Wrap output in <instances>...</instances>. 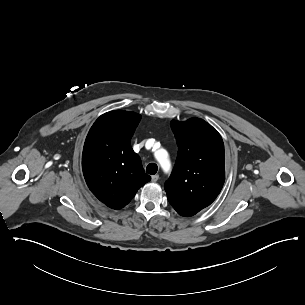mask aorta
<instances>
[{
	"label": "aorta",
	"mask_w": 305,
	"mask_h": 305,
	"mask_svg": "<svg viewBox=\"0 0 305 305\" xmlns=\"http://www.w3.org/2000/svg\"><path fill=\"white\" fill-rule=\"evenodd\" d=\"M166 152L164 150H158L155 153V157L158 160V162L160 163L161 167L163 168V170L165 172H168L170 170L171 164L169 159H167L165 157Z\"/></svg>",
	"instance_id": "aorta-1"
}]
</instances>
